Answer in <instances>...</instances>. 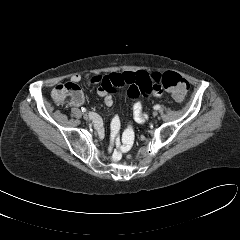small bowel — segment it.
Segmentation results:
<instances>
[{"mask_svg": "<svg viewBox=\"0 0 240 240\" xmlns=\"http://www.w3.org/2000/svg\"><path fill=\"white\" fill-rule=\"evenodd\" d=\"M154 74H149L146 71L110 73L105 76H95L90 79L91 83L98 84L97 94L101 97L107 106L113 104V93L117 92L123 86H128L127 94L131 98L139 96L149 97L154 96L160 98L162 90L160 84L155 82ZM82 79L80 74H73L70 81L78 83ZM84 102L83 95L81 98L71 102L74 106H80ZM133 117L137 123H144L148 119V114L144 111L141 101H136L133 105ZM91 118L98 129L99 133H103V122L101 117L96 113H91ZM112 135L117 138L120 130V120L118 115H115L112 124ZM126 134L132 135L131 127H128Z\"/></svg>", "mask_w": 240, "mask_h": 240, "instance_id": "small-bowel-1", "label": "small bowel"}]
</instances>
